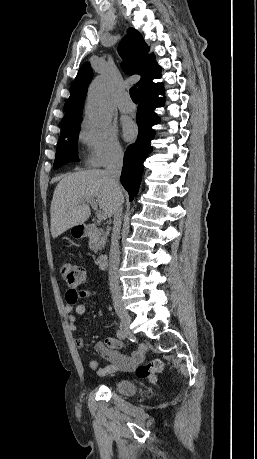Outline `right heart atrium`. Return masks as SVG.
<instances>
[{"mask_svg":"<svg viewBox=\"0 0 257 459\" xmlns=\"http://www.w3.org/2000/svg\"><path fill=\"white\" fill-rule=\"evenodd\" d=\"M80 138L86 147L87 162L91 166H103L122 157V146L112 126H97L84 121Z\"/></svg>","mask_w":257,"mask_h":459,"instance_id":"obj_1","label":"right heart atrium"}]
</instances>
